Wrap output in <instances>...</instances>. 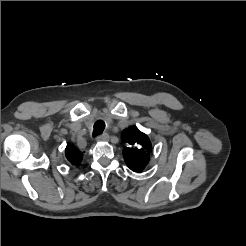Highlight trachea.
Returning a JSON list of instances; mask_svg holds the SVG:
<instances>
[{
  "instance_id": "obj_1",
  "label": "trachea",
  "mask_w": 246,
  "mask_h": 246,
  "mask_svg": "<svg viewBox=\"0 0 246 246\" xmlns=\"http://www.w3.org/2000/svg\"><path fill=\"white\" fill-rule=\"evenodd\" d=\"M105 129V123L102 120H97L94 123V131H93V136H97L103 132Z\"/></svg>"
}]
</instances>
